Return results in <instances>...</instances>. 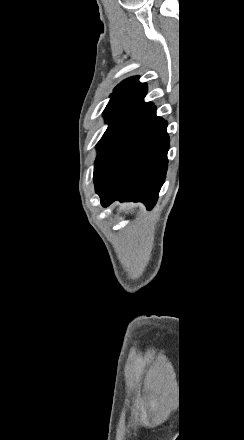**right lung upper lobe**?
<instances>
[{
    "instance_id": "cb5924a9",
    "label": "right lung upper lobe",
    "mask_w": 244,
    "mask_h": 440,
    "mask_svg": "<svg viewBox=\"0 0 244 440\" xmlns=\"http://www.w3.org/2000/svg\"><path fill=\"white\" fill-rule=\"evenodd\" d=\"M139 77H131L121 82L111 94L112 99L132 98L142 100L147 93V85L138 81Z\"/></svg>"
}]
</instances>
